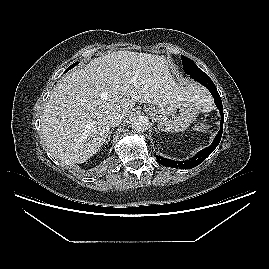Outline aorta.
<instances>
[{"instance_id": "762f6f07", "label": "aorta", "mask_w": 269, "mask_h": 269, "mask_svg": "<svg viewBox=\"0 0 269 269\" xmlns=\"http://www.w3.org/2000/svg\"><path fill=\"white\" fill-rule=\"evenodd\" d=\"M132 129L137 132H144L148 129L149 120L146 116H135L131 123Z\"/></svg>"}]
</instances>
